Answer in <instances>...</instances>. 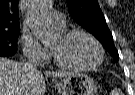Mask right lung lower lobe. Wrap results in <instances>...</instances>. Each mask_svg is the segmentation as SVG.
I'll return each instance as SVG.
<instances>
[{
    "label": "right lung lower lobe",
    "instance_id": "1",
    "mask_svg": "<svg viewBox=\"0 0 135 95\" xmlns=\"http://www.w3.org/2000/svg\"><path fill=\"white\" fill-rule=\"evenodd\" d=\"M13 55H14V54H12V55H8V56H13ZM0 56H4V57H5L6 55H0Z\"/></svg>",
    "mask_w": 135,
    "mask_h": 95
}]
</instances>
